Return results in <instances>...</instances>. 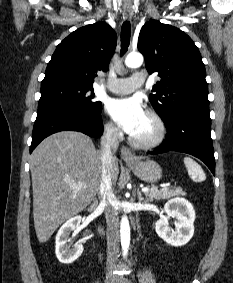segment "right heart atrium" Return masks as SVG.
Returning a JSON list of instances; mask_svg holds the SVG:
<instances>
[{
    "instance_id": "1",
    "label": "right heart atrium",
    "mask_w": 233,
    "mask_h": 283,
    "mask_svg": "<svg viewBox=\"0 0 233 283\" xmlns=\"http://www.w3.org/2000/svg\"><path fill=\"white\" fill-rule=\"evenodd\" d=\"M104 133L107 137L115 139L118 137V129L115 124L111 121H107L103 126Z\"/></svg>"
}]
</instances>
